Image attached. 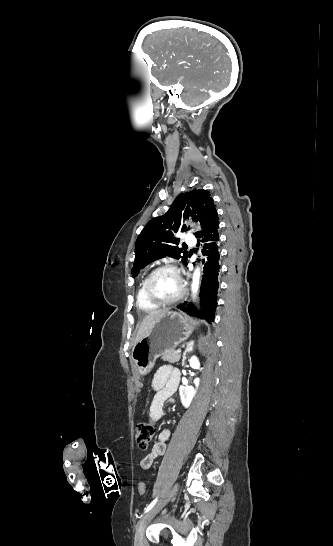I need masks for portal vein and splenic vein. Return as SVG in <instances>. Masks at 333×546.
<instances>
[{
    "label": "portal vein and splenic vein",
    "mask_w": 333,
    "mask_h": 546,
    "mask_svg": "<svg viewBox=\"0 0 333 546\" xmlns=\"http://www.w3.org/2000/svg\"><path fill=\"white\" fill-rule=\"evenodd\" d=\"M177 352L180 353V352H181V349H178Z\"/></svg>",
    "instance_id": "obj_1"
}]
</instances>
